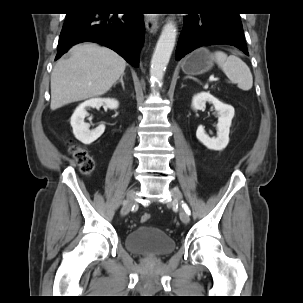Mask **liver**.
<instances>
[{"mask_svg":"<svg viewBox=\"0 0 303 303\" xmlns=\"http://www.w3.org/2000/svg\"><path fill=\"white\" fill-rule=\"evenodd\" d=\"M126 61L114 51L94 43L70 50L51 74V110L105 94L124 73Z\"/></svg>","mask_w":303,"mask_h":303,"instance_id":"liver-1","label":"liver"}]
</instances>
